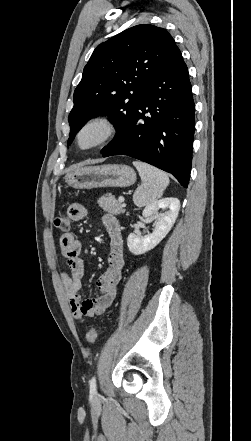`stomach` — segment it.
<instances>
[{
	"label": "stomach",
	"instance_id": "1",
	"mask_svg": "<svg viewBox=\"0 0 251 441\" xmlns=\"http://www.w3.org/2000/svg\"><path fill=\"white\" fill-rule=\"evenodd\" d=\"M64 179L74 189L129 187L135 183L136 173L127 165L105 164L74 169Z\"/></svg>",
	"mask_w": 251,
	"mask_h": 441
}]
</instances>
